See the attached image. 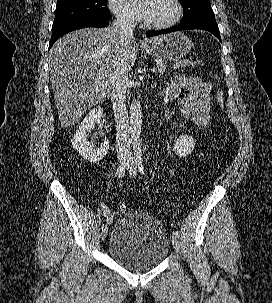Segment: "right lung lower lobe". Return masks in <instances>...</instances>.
Listing matches in <instances>:
<instances>
[{
	"mask_svg": "<svg viewBox=\"0 0 272 303\" xmlns=\"http://www.w3.org/2000/svg\"><path fill=\"white\" fill-rule=\"evenodd\" d=\"M109 19H97V18H83L72 20L57 26L52 27V36L49 43V48L64 34L84 28V27H106Z\"/></svg>",
	"mask_w": 272,
	"mask_h": 303,
	"instance_id": "right-lung-lower-lobe-1",
	"label": "right lung lower lobe"
}]
</instances>
